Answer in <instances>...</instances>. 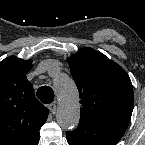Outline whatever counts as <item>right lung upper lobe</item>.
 <instances>
[{"label": "right lung upper lobe", "instance_id": "1", "mask_svg": "<svg viewBox=\"0 0 145 145\" xmlns=\"http://www.w3.org/2000/svg\"><path fill=\"white\" fill-rule=\"evenodd\" d=\"M31 68L32 60L16 56L0 62V145H30L47 120L48 109L26 78Z\"/></svg>", "mask_w": 145, "mask_h": 145}]
</instances>
